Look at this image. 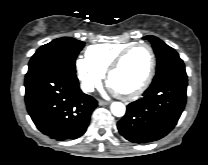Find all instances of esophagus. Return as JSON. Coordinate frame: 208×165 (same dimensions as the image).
<instances>
[{
	"mask_svg": "<svg viewBox=\"0 0 208 165\" xmlns=\"http://www.w3.org/2000/svg\"><path fill=\"white\" fill-rule=\"evenodd\" d=\"M98 104H99L100 106H103V105L109 104V102L104 101V100H99V101H98Z\"/></svg>",
	"mask_w": 208,
	"mask_h": 165,
	"instance_id": "esophagus-1",
	"label": "esophagus"
}]
</instances>
